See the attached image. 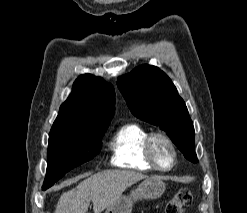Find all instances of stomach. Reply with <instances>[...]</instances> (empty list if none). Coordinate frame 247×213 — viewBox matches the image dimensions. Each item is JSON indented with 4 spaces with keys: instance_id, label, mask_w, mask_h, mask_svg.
Returning a JSON list of instances; mask_svg holds the SVG:
<instances>
[{
    "instance_id": "0dacf381",
    "label": "stomach",
    "mask_w": 247,
    "mask_h": 213,
    "mask_svg": "<svg viewBox=\"0 0 247 213\" xmlns=\"http://www.w3.org/2000/svg\"><path fill=\"white\" fill-rule=\"evenodd\" d=\"M164 190L165 184L158 177L147 178L129 196L122 195L115 203L107 207L105 213H131L134 202L158 199Z\"/></svg>"
}]
</instances>
